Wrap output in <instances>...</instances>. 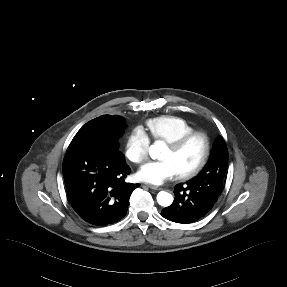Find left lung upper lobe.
Masks as SVG:
<instances>
[{
  "instance_id": "5c2ea615",
  "label": "left lung upper lobe",
  "mask_w": 287,
  "mask_h": 287,
  "mask_svg": "<svg viewBox=\"0 0 287 287\" xmlns=\"http://www.w3.org/2000/svg\"><path fill=\"white\" fill-rule=\"evenodd\" d=\"M227 162V147L223 138L219 136L213 145L207 165L196 177L189 181L201 186L205 191H210L212 189V184L222 189L223 180L227 169Z\"/></svg>"
}]
</instances>
